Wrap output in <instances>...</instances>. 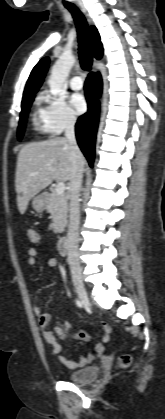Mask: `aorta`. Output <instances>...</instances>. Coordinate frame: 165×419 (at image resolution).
I'll list each match as a JSON object with an SVG mask.
<instances>
[{
    "label": "aorta",
    "mask_w": 165,
    "mask_h": 419,
    "mask_svg": "<svg viewBox=\"0 0 165 419\" xmlns=\"http://www.w3.org/2000/svg\"><path fill=\"white\" fill-rule=\"evenodd\" d=\"M75 64V57L72 54L64 53L54 64L48 80L49 87L53 95H58L63 91L64 82L68 73Z\"/></svg>",
    "instance_id": "762f6f07"
}]
</instances>
